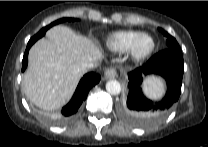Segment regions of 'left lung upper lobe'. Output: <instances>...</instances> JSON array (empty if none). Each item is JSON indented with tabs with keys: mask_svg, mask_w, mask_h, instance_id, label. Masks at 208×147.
<instances>
[{
	"mask_svg": "<svg viewBox=\"0 0 208 147\" xmlns=\"http://www.w3.org/2000/svg\"><path fill=\"white\" fill-rule=\"evenodd\" d=\"M159 31L163 34V36L166 38V44L168 49H173L176 51H181L180 46L176 39L168 34L165 30L159 28Z\"/></svg>",
	"mask_w": 208,
	"mask_h": 147,
	"instance_id": "left-lung-upper-lobe-1",
	"label": "left lung upper lobe"
}]
</instances>
